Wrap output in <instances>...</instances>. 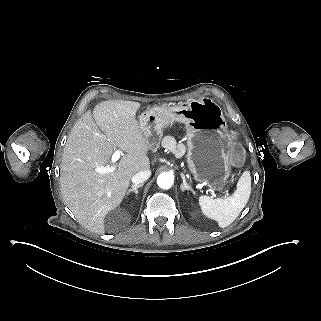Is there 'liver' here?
<instances>
[{"label":"liver","mask_w":321,"mask_h":321,"mask_svg":"<svg viewBox=\"0 0 321 321\" xmlns=\"http://www.w3.org/2000/svg\"><path fill=\"white\" fill-rule=\"evenodd\" d=\"M140 108L138 101H102L93 115H82L67 139L61 161L62 197L79 223L93 233L105 234V218L123 202L132 176L150 170V142L137 119ZM117 147L126 153L112 161ZM107 165L108 173L94 171Z\"/></svg>","instance_id":"6515ba94"}]
</instances>
